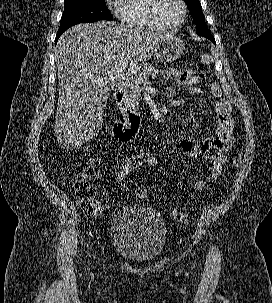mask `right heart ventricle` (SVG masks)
I'll use <instances>...</instances> for the list:
<instances>
[{"label":"right heart ventricle","mask_w":272,"mask_h":303,"mask_svg":"<svg viewBox=\"0 0 272 303\" xmlns=\"http://www.w3.org/2000/svg\"><path fill=\"white\" fill-rule=\"evenodd\" d=\"M151 0H124L120 9L121 19L136 27L158 29L150 11Z\"/></svg>","instance_id":"1"}]
</instances>
